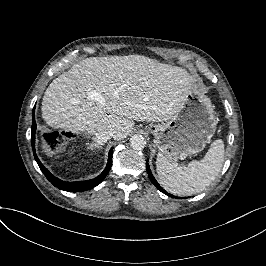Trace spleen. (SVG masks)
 <instances>
[{"mask_svg":"<svg viewBox=\"0 0 266 266\" xmlns=\"http://www.w3.org/2000/svg\"><path fill=\"white\" fill-rule=\"evenodd\" d=\"M160 184L175 195L190 196L202 192L217 177L224 163V142L213 141L200 161L179 164L158 153L156 159Z\"/></svg>","mask_w":266,"mask_h":266,"instance_id":"spleen-1","label":"spleen"}]
</instances>
